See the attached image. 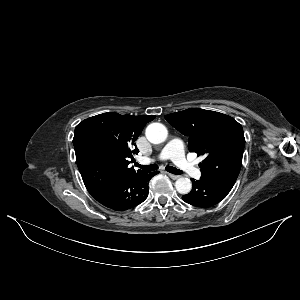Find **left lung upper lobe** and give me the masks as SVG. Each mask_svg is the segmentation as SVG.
<instances>
[{"label": "left lung upper lobe", "mask_w": 300, "mask_h": 300, "mask_svg": "<svg viewBox=\"0 0 300 300\" xmlns=\"http://www.w3.org/2000/svg\"><path fill=\"white\" fill-rule=\"evenodd\" d=\"M165 119L189 137L190 152L205 155L199 164L201 179L232 189L245 146L242 126L230 116L198 108L168 114Z\"/></svg>", "instance_id": "5c2ea615"}]
</instances>
